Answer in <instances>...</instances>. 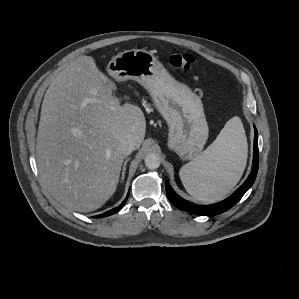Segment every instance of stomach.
Segmentation results:
<instances>
[{
	"instance_id": "stomach-1",
	"label": "stomach",
	"mask_w": 299,
	"mask_h": 299,
	"mask_svg": "<svg viewBox=\"0 0 299 299\" xmlns=\"http://www.w3.org/2000/svg\"><path fill=\"white\" fill-rule=\"evenodd\" d=\"M107 72L117 81L135 80L149 92L168 124L169 149L183 160L201 154L209 132L201 99L176 81L152 53L144 49L121 52L108 63Z\"/></svg>"
}]
</instances>
